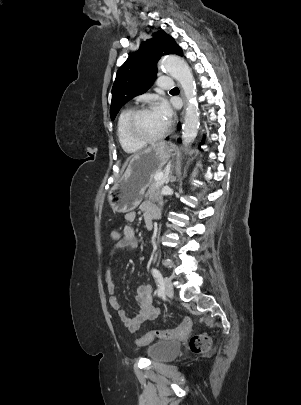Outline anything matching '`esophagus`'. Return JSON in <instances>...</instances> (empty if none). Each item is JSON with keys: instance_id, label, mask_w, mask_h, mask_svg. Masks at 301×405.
Returning <instances> with one entry per match:
<instances>
[{"instance_id": "34e87169", "label": "esophagus", "mask_w": 301, "mask_h": 405, "mask_svg": "<svg viewBox=\"0 0 301 405\" xmlns=\"http://www.w3.org/2000/svg\"><path fill=\"white\" fill-rule=\"evenodd\" d=\"M184 116V110H183V112H182V114H181V117H183Z\"/></svg>"}]
</instances>
